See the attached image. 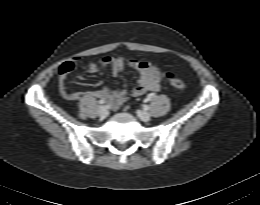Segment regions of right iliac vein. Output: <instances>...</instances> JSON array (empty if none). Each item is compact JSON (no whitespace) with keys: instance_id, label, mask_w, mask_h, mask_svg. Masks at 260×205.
<instances>
[{"instance_id":"right-iliac-vein-1","label":"right iliac vein","mask_w":260,"mask_h":205,"mask_svg":"<svg viewBox=\"0 0 260 205\" xmlns=\"http://www.w3.org/2000/svg\"><path fill=\"white\" fill-rule=\"evenodd\" d=\"M98 115L101 117V118H106L108 116V110L105 106H100L98 108Z\"/></svg>"}]
</instances>
